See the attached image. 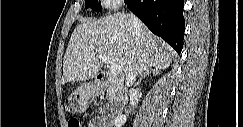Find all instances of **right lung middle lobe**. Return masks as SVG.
I'll use <instances>...</instances> for the list:
<instances>
[{
    "label": "right lung middle lobe",
    "mask_w": 243,
    "mask_h": 127,
    "mask_svg": "<svg viewBox=\"0 0 243 127\" xmlns=\"http://www.w3.org/2000/svg\"><path fill=\"white\" fill-rule=\"evenodd\" d=\"M85 4H86V9L90 7L97 12L102 10L101 6H99L98 0H86Z\"/></svg>",
    "instance_id": "1"
}]
</instances>
